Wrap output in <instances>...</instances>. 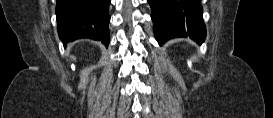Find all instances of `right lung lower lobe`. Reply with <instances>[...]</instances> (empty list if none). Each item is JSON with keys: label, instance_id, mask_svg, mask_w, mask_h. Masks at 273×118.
<instances>
[{"label": "right lung lower lobe", "instance_id": "obj_1", "mask_svg": "<svg viewBox=\"0 0 273 118\" xmlns=\"http://www.w3.org/2000/svg\"><path fill=\"white\" fill-rule=\"evenodd\" d=\"M111 0H57L58 35L64 45L91 38L109 45L108 7Z\"/></svg>", "mask_w": 273, "mask_h": 118}]
</instances>
